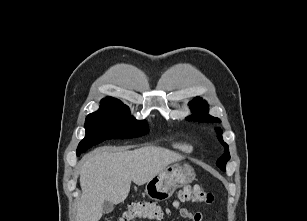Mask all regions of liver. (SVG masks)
<instances>
[{"instance_id": "obj_1", "label": "liver", "mask_w": 307, "mask_h": 221, "mask_svg": "<svg viewBox=\"0 0 307 221\" xmlns=\"http://www.w3.org/2000/svg\"><path fill=\"white\" fill-rule=\"evenodd\" d=\"M180 154L155 146L135 150L100 148L86 154L81 161L82 195L77 209V221H99L105 201L123 202L131 181L143 185L173 162Z\"/></svg>"}]
</instances>
